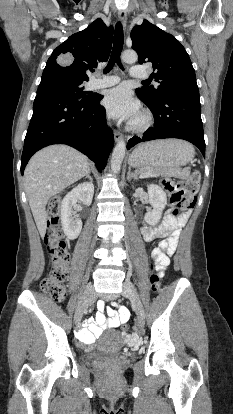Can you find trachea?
Here are the masks:
<instances>
[{
	"instance_id": "trachea-1",
	"label": "trachea",
	"mask_w": 233,
	"mask_h": 414,
	"mask_svg": "<svg viewBox=\"0 0 233 414\" xmlns=\"http://www.w3.org/2000/svg\"><path fill=\"white\" fill-rule=\"evenodd\" d=\"M123 43H124V34H123V27L122 24L120 22H117L116 26H115V32H114V42H113V49H112V54L110 57V60L106 66V68L104 69V73H108L113 66L115 65V63L118 64V66L123 69V65L121 64L120 61V55L123 49ZM143 83H148L147 80L143 81Z\"/></svg>"
}]
</instances>
